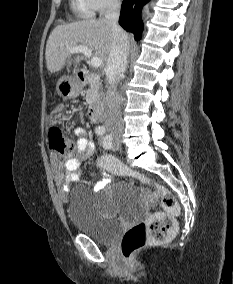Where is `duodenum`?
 <instances>
[{"label":"duodenum","instance_id":"obj_1","mask_svg":"<svg viewBox=\"0 0 233 284\" xmlns=\"http://www.w3.org/2000/svg\"><path fill=\"white\" fill-rule=\"evenodd\" d=\"M77 76L79 81L82 83L87 80V74L83 70H80ZM88 116L93 123L101 124L103 120L102 105L100 103L92 104L88 109Z\"/></svg>","mask_w":233,"mask_h":284}]
</instances>
